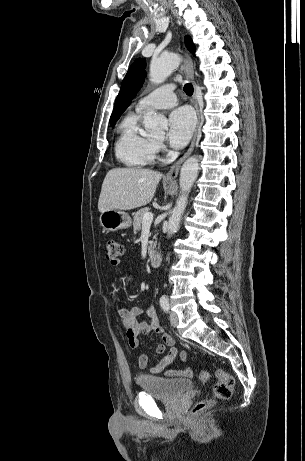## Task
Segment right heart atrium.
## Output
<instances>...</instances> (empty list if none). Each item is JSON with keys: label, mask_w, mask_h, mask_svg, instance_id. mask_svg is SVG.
<instances>
[{"label": "right heart atrium", "mask_w": 305, "mask_h": 461, "mask_svg": "<svg viewBox=\"0 0 305 461\" xmlns=\"http://www.w3.org/2000/svg\"><path fill=\"white\" fill-rule=\"evenodd\" d=\"M156 152H162L164 150V146L161 143H155Z\"/></svg>", "instance_id": "right-heart-atrium-1"}]
</instances>
